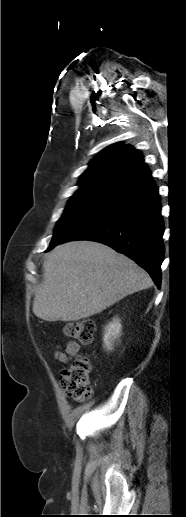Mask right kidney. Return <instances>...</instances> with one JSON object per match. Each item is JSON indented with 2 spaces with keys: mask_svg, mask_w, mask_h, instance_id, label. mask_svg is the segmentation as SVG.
Returning <instances> with one entry per match:
<instances>
[{
  "mask_svg": "<svg viewBox=\"0 0 186 517\" xmlns=\"http://www.w3.org/2000/svg\"><path fill=\"white\" fill-rule=\"evenodd\" d=\"M104 329V347L107 348V350H113L115 346L120 344L122 329L120 320L115 317Z\"/></svg>",
  "mask_w": 186,
  "mask_h": 517,
  "instance_id": "ca27d5eb",
  "label": "right kidney"
}]
</instances>
